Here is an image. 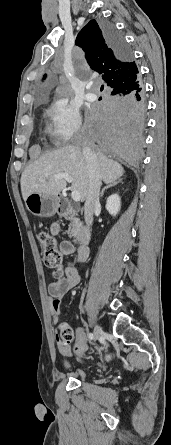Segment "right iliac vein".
<instances>
[{"instance_id": "1", "label": "right iliac vein", "mask_w": 171, "mask_h": 445, "mask_svg": "<svg viewBox=\"0 0 171 445\" xmlns=\"http://www.w3.org/2000/svg\"><path fill=\"white\" fill-rule=\"evenodd\" d=\"M103 330L101 328V326L99 324H95L94 325V330H93V335H94V339L95 341L98 340L102 334Z\"/></svg>"}]
</instances>
